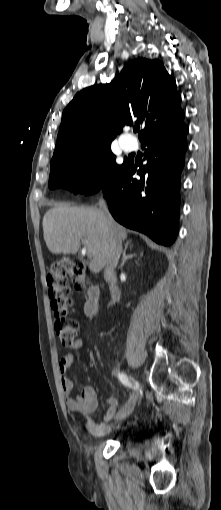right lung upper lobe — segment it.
<instances>
[{
    "label": "right lung upper lobe",
    "instance_id": "1",
    "mask_svg": "<svg viewBox=\"0 0 221 510\" xmlns=\"http://www.w3.org/2000/svg\"><path fill=\"white\" fill-rule=\"evenodd\" d=\"M176 82L158 60L137 58L109 84L78 92L62 114L51 162L78 149L111 144L124 125L143 130L139 139L183 121Z\"/></svg>",
    "mask_w": 221,
    "mask_h": 510
}]
</instances>
